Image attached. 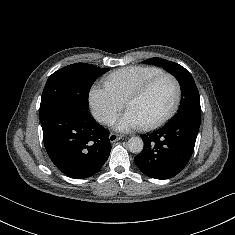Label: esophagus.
<instances>
[{
    "label": "esophagus",
    "mask_w": 235,
    "mask_h": 235,
    "mask_svg": "<svg viewBox=\"0 0 235 235\" xmlns=\"http://www.w3.org/2000/svg\"><path fill=\"white\" fill-rule=\"evenodd\" d=\"M121 138H122L121 135H118V134H115V133H111V134L109 135V141H110L111 143L116 142V141L120 140Z\"/></svg>",
    "instance_id": "34e87169"
}]
</instances>
